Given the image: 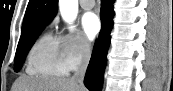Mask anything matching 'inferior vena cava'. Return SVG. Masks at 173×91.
Masks as SVG:
<instances>
[{
	"mask_svg": "<svg viewBox=\"0 0 173 91\" xmlns=\"http://www.w3.org/2000/svg\"><path fill=\"white\" fill-rule=\"evenodd\" d=\"M81 62L77 66L75 73L71 80L76 82L80 87H84L83 81L87 70V66L91 56V49L88 43H84L80 49Z\"/></svg>",
	"mask_w": 173,
	"mask_h": 91,
	"instance_id": "inferior-vena-cava-1",
	"label": "inferior vena cava"
}]
</instances>
